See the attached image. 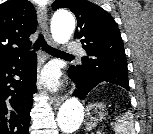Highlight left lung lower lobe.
<instances>
[{
    "label": "left lung lower lobe",
    "mask_w": 153,
    "mask_h": 134,
    "mask_svg": "<svg viewBox=\"0 0 153 134\" xmlns=\"http://www.w3.org/2000/svg\"><path fill=\"white\" fill-rule=\"evenodd\" d=\"M68 73L72 80L75 81L77 86L74 95L80 99H84L86 95L100 83L106 82L96 77L85 76L80 72L76 71L73 67L69 68ZM124 88L129 91V87Z\"/></svg>",
    "instance_id": "1"
}]
</instances>
